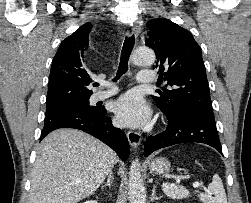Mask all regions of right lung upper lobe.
Wrapping results in <instances>:
<instances>
[{"label": "right lung upper lobe", "instance_id": "right-lung-upper-lobe-1", "mask_svg": "<svg viewBox=\"0 0 251 203\" xmlns=\"http://www.w3.org/2000/svg\"><path fill=\"white\" fill-rule=\"evenodd\" d=\"M91 28L90 23L82 25L59 46L49 76L47 109L64 107L92 95V90L88 89L91 77L84 65Z\"/></svg>", "mask_w": 251, "mask_h": 203}]
</instances>
